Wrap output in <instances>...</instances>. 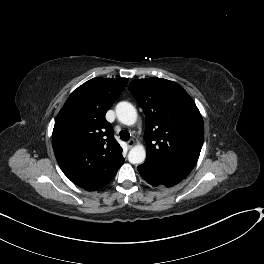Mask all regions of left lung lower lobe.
<instances>
[{
	"label": "left lung lower lobe",
	"instance_id": "obj_1",
	"mask_svg": "<svg viewBox=\"0 0 264 264\" xmlns=\"http://www.w3.org/2000/svg\"><path fill=\"white\" fill-rule=\"evenodd\" d=\"M137 169L140 175L143 177V179L153 186L164 185L166 187H171L184 179L181 177L159 172L145 164L138 166Z\"/></svg>",
	"mask_w": 264,
	"mask_h": 264
}]
</instances>
